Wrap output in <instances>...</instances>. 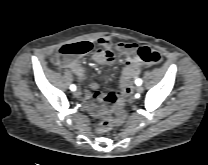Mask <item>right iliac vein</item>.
<instances>
[{"mask_svg": "<svg viewBox=\"0 0 208 165\" xmlns=\"http://www.w3.org/2000/svg\"><path fill=\"white\" fill-rule=\"evenodd\" d=\"M73 94H74L75 97H79L81 95L79 90L74 91Z\"/></svg>", "mask_w": 208, "mask_h": 165, "instance_id": "obj_1", "label": "right iliac vein"}]
</instances>
